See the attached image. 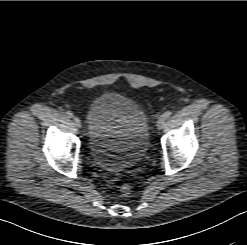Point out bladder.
Masks as SVG:
<instances>
[{
    "instance_id": "bladder-1",
    "label": "bladder",
    "mask_w": 247,
    "mask_h": 245,
    "mask_svg": "<svg viewBox=\"0 0 247 245\" xmlns=\"http://www.w3.org/2000/svg\"><path fill=\"white\" fill-rule=\"evenodd\" d=\"M88 140L95 161L111 171L136 166L149 144L144 111L130 98L107 92L88 109Z\"/></svg>"
}]
</instances>
